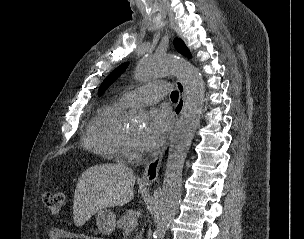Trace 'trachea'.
<instances>
[{
	"label": "trachea",
	"mask_w": 304,
	"mask_h": 239,
	"mask_svg": "<svg viewBox=\"0 0 304 239\" xmlns=\"http://www.w3.org/2000/svg\"><path fill=\"white\" fill-rule=\"evenodd\" d=\"M153 16H154V15H153ZM178 96H179L178 91H173V92L171 93V100L177 102Z\"/></svg>",
	"instance_id": "obj_1"
}]
</instances>
